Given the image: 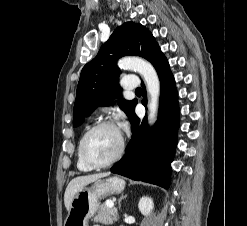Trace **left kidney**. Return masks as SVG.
<instances>
[{"instance_id":"left-kidney-1","label":"left kidney","mask_w":247,"mask_h":226,"mask_svg":"<svg viewBox=\"0 0 247 226\" xmlns=\"http://www.w3.org/2000/svg\"><path fill=\"white\" fill-rule=\"evenodd\" d=\"M153 207H154L153 200L147 196L142 197L138 204V208L140 212L145 216L151 213Z\"/></svg>"}]
</instances>
